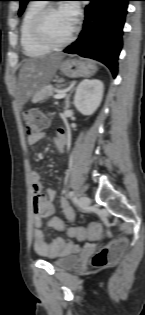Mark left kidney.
Wrapping results in <instances>:
<instances>
[{
  "mask_svg": "<svg viewBox=\"0 0 145 315\" xmlns=\"http://www.w3.org/2000/svg\"><path fill=\"white\" fill-rule=\"evenodd\" d=\"M104 85L98 79H85L78 85L74 105L83 115H91L100 106Z\"/></svg>",
  "mask_w": 145,
  "mask_h": 315,
  "instance_id": "5707ae66",
  "label": "left kidney"
}]
</instances>
